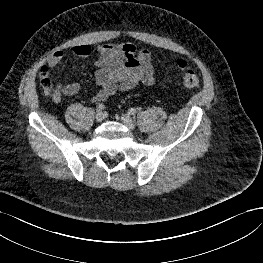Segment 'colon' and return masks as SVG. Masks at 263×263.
Listing matches in <instances>:
<instances>
[{
	"label": "colon",
	"mask_w": 263,
	"mask_h": 263,
	"mask_svg": "<svg viewBox=\"0 0 263 263\" xmlns=\"http://www.w3.org/2000/svg\"><path fill=\"white\" fill-rule=\"evenodd\" d=\"M176 66L182 74L183 83L187 88H197L200 85V79L198 75L188 67V64L183 59L176 61ZM40 81L43 90L46 93H50L52 89V82L47 67H43L40 71Z\"/></svg>",
	"instance_id": "obj_1"
}]
</instances>
